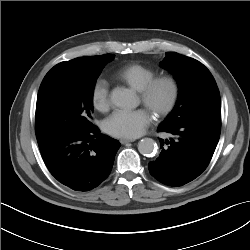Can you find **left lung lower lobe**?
<instances>
[{
	"mask_svg": "<svg viewBox=\"0 0 250 250\" xmlns=\"http://www.w3.org/2000/svg\"><path fill=\"white\" fill-rule=\"evenodd\" d=\"M158 131L173 137L159 139L162 151L149 163V172L163 184L182 186L208 166L220 137L221 113L190 118L174 127L160 125Z\"/></svg>",
	"mask_w": 250,
	"mask_h": 250,
	"instance_id": "left-lung-lower-lobe-1",
	"label": "left lung lower lobe"
}]
</instances>
